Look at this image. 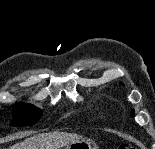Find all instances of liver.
<instances>
[{
    "label": "liver",
    "mask_w": 155,
    "mask_h": 149,
    "mask_svg": "<svg viewBox=\"0 0 155 149\" xmlns=\"http://www.w3.org/2000/svg\"><path fill=\"white\" fill-rule=\"evenodd\" d=\"M83 137L74 133L52 132L34 135L10 146L9 149H61Z\"/></svg>",
    "instance_id": "1"
}]
</instances>
